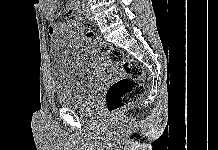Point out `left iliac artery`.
I'll return each instance as SVG.
<instances>
[{"instance_id": "left-iliac-artery-1", "label": "left iliac artery", "mask_w": 218, "mask_h": 150, "mask_svg": "<svg viewBox=\"0 0 218 150\" xmlns=\"http://www.w3.org/2000/svg\"><path fill=\"white\" fill-rule=\"evenodd\" d=\"M82 14V11H81V9L79 10V15H81Z\"/></svg>"}]
</instances>
